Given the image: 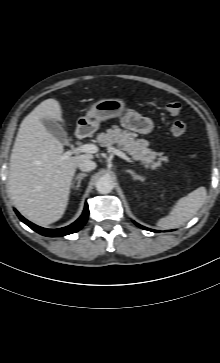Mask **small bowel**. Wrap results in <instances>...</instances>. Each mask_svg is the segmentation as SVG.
<instances>
[{
  "instance_id": "small-bowel-1",
  "label": "small bowel",
  "mask_w": 220,
  "mask_h": 363,
  "mask_svg": "<svg viewBox=\"0 0 220 363\" xmlns=\"http://www.w3.org/2000/svg\"><path fill=\"white\" fill-rule=\"evenodd\" d=\"M122 124L129 130L148 134L153 129V122L138 112H129L122 118Z\"/></svg>"
}]
</instances>
